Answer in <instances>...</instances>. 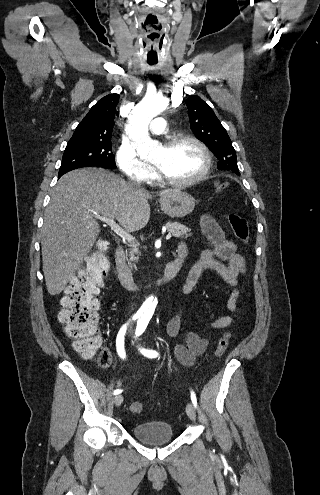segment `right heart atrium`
I'll return each instance as SVG.
<instances>
[{"label":"right heart atrium","instance_id":"obj_1","mask_svg":"<svg viewBox=\"0 0 320 495\" xmlns=\"http://www.w3.org/2000/svg\"><path fill=\"white\" fill-rule=\"evenodd\" d=\"M116 159L121 171L134 180L148 182L155 177L151 167L138 158L134 147L128 142L121 143Z\"/></svg>","mask_w":320,"mask_h":495}]
</instances>
